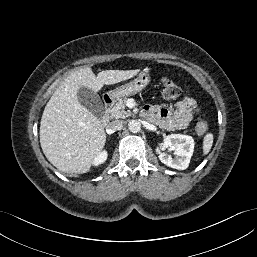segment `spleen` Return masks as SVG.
I'll return each instance as SVG.
<instances>
[{"mask_svg": "<svg viewBox=\"0 0 257 257\" xmlns=\"http://www.w3.org/2000/svg\"><path fill=\"white\" fill-rule=\"evenodd\" d=\"M213 145V134L212 133H207L204 136L203 139V154L206 155L209 153L211 150V147Z\"/></svg>", "mask_w": 257, "mask_h": 257, "instance_id": "1", "label": "spleen"}]
</instances>
